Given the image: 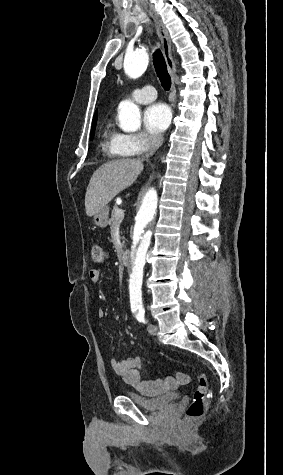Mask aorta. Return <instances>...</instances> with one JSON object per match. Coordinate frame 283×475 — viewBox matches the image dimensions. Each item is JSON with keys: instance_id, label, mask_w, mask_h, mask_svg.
Returning a JSON list of instances; mask_svg holds the SVG:
<instances>
[{"instance_id": "1", "label": "aorta", "mask_w": 283, "mask_h": 475, "mask_svg": "<svg viewBox=\"0 0 283 475\" xmlns=\"http://www.w3.org/2000/svg\"><path fill=\"white\" fill-rule=\"evenodd\" d=\"M148 62L149 55L146 49H136L126 54L124 58L125 73L130 78H138L146 71ZM118 118L120 128L124 131L134 132L141 126L140 110L129 100L119 104ZM161 208L159 191L155 187L141 193L131 228L132 245L128 265L130 303L133 307L142 308V283L146 256L161 220Z\"/></svg>"}]
</instances>
